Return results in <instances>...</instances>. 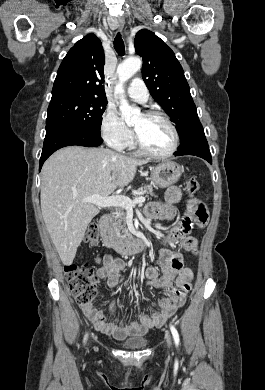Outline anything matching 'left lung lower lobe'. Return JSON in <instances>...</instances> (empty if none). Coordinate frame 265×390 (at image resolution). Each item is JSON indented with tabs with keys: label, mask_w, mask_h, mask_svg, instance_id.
Wrapping results in <instances>:
<instances>
[{
	"label": "left lung lower lobe",
	"mask_w": 265,
	"mask_h": 390,
	"mask_svg": "<svg viewBox=\"0 0 265 390\" xmlns=\"http://www.w3.org/2000/svg\"><path fill=\"white\" fill-rule=\"evenodd\" d=\"M175 155H195L212 164V157L204 132L199 135L187 148L178 150Z\"/></svg>",
	"instance_id": "left-lung-lower-lobe-1"
}]
</instances>
